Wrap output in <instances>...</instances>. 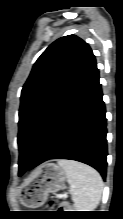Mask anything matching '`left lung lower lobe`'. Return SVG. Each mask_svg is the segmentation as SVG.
Here are the masks:
<instances>
[{"label": "left lung lower lobe", "mask_w": 123, "mask_h": 219, "mask_svg": "<svg viewBox=\"0 0 123 219\" xmlns=\"http://www.w3.org/2000/svg\"><path fill=\"white\" fill-rule=\"evenodd\" d=\"M96 62L71 89L53 116L33 159L19 176L50 159H70L95 168L105 179V104Z\"/></svg>", "instance_id": "left-lung-lower-lobe-1"}]
</instances>
